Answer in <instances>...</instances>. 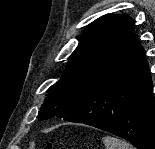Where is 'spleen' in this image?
I'll return each instance as SVG.
<instances>
[{
    "instance_id": "spleen-1",
    "label": "spleen",
    "mask_w": 155,
    "mask_h": 149,
    "mask_svg": "<svg viewBox=\"0 0 155 149\" xmlns=\"http://www.w3.org/2000/svg\"><path fill=\"white\" fill-rule=\"evenodd\" d=\"M102 141L105 149H135L130 143L116 137L105 136Z\"/></svg>"
}]
</instances>
